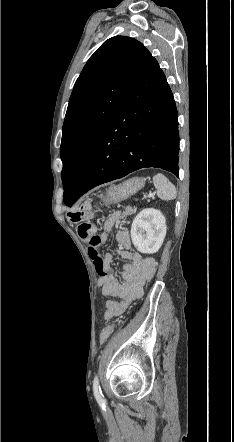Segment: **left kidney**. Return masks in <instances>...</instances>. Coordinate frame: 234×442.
Segmentation results:
<instances>
[{
  "instance_id": "obj_1",
  "label": "left kidney",
  "mask_w": 234,
  "mask_h": 442,
  "mask_svg": "<svg viewBox=\"0 0 234 442\" xmlns=\"http://www.w3.org/2000/svg\"><path fill=\"white\" fill-rule=\"evenodd\" d=\"M166 230V219L163 214L159 210L146 208L133 220L131 239L139 252L156 253L164 241Z\"/></svg>"
}]
</instances>
